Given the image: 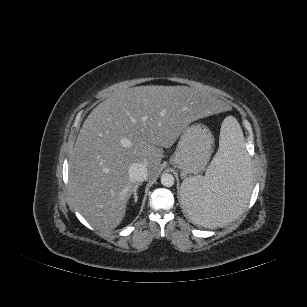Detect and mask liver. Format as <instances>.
I'll return each instance as SVG.
<instances>
[{"instance_id":"6515ba94","label":"liver","mask_w":307,"mask_h":307,"mask_svg":"<svg viewBox=\"0 0 307 307\" xmlns=\"http://www.w3.org/2000/svg\"><path fill=\"white\" fill-rule=\"evenodd\" d=\"M227 103L187 86H137L113 93L88 115L69 160V191L79 213L103 231L123 220L138 183L128 169L138 162L150 177L194 120L222 115Z\"/></svg>"}]
</instances>
